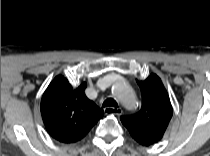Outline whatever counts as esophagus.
<instances>
[{
  "mask_svg": "<svg viewBox=\"0 0 210 156\" xmlns=\"http://www.w3.org/2000/svg\"><path fill=\"white\" fill-rule=\"evenodd\" d=\"M113 109V107H106V108H104V111L106 112V114H110V111ZM117 110H119L118 111V113L119 114H122V110H121V108H118Z\"/></svg>",
  "mask_w": 210,
  "mask_h": 156,
  "instance_id": "34e87169",
  "label": "esophagus"
}]
</instances>
